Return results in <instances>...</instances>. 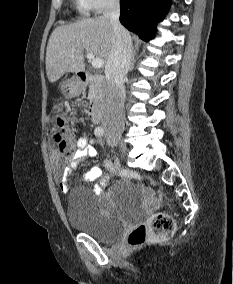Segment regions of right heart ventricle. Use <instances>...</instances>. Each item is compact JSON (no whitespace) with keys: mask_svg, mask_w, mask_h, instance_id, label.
I'll use <instances>...</instances> for the list:
<instances>
[{"mask_svg":"<svg viewBox=\"0 0 233 284\" xmlns=\"http://www.w3.org/2000/svg\"><path fill=\"white\" fill-rule=\"evenodd\" d=\"M77 3L80 10L86 11L88 9L84 0H77Z\"/></svg>","mask_w":233,"mask_h":284,"instance_id":"1","label":"right heart ventricle"}]
</instances>
